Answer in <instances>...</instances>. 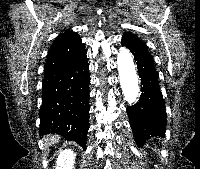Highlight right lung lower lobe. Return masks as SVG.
Returning <instances> with one entry per match:
<instances>
[{
    "mask_svg": "<svg viewBox=\"0 0 200 169\" xmlns=\"http://www.w3.org/2000/svg\"><path fill=\"white\" fill-rule=\"evenodd\" d=\"M89 83L86 51L69 64L44 71L40 135L56 133L85 146Z\"/></svg>",
    "mask_w": 200,
    "mask_h": 169,
    "instance_id": "98d812e1",
    "label": "right lung lower lobe"
}]
</instances>
